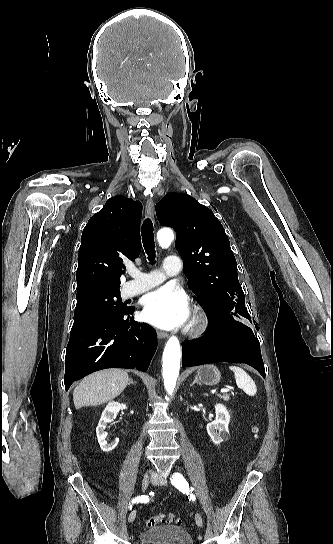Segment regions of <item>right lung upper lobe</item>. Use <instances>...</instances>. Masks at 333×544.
I'll return each instance as SVG.
<instances>
[{"instance_id": "right-lung-upper-lobe-1", "label": "right lung upper lobe", "mask_w": 333, "mask_h": 544, "mask_svg": "<svg viewBox=\"0 0 333 544\" xmlns=\"http://www.w3.org/2000/svg\"><path fill=\"white\" fill-rule=\"evenodd\" d=\"M141 214L139 201L115 196L89 219L78 253L77 299L119 290L123 262L140 252Z\"/></svg>"}]
</instances>
